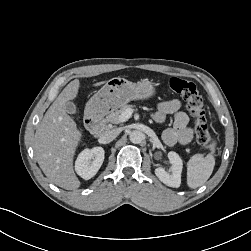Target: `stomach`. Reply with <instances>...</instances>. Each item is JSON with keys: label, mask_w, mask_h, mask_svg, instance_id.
Wrapping results in <instances>:
<instances>
[{"label": "stomach", "mask_w": 251, "mask_h": 251, "mask_svg": "<svg viewBox=\"0 0 251 251\" xmlns=\"http://www.w3.org/2000/svg\"><path fill=\"white\" fill-rule=\"evenodd\" d=\"M156 94V84L149 79L132 83L124 78H112L87 102L86 112L103 115L132 100L149 99Z\"/></svg>", "instance_id": "0dacf381"}]
</instances>
